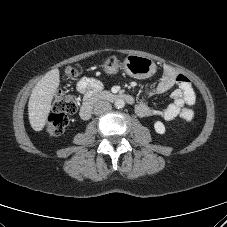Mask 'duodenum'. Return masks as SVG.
Returning a JSON list of instances; mask_svg holds the SVG:
<instances>
[{"instance_id":"duodenum-1","label":"duodenum","mask_w":227,"mask_h":227,"mask_svg":"<svg viewBox=\"0 0 227 227\" xmlns=\"http://www.w3.org/2000/svg\"><path fill=\"white\" fill-rule=\"evenodd\" d=\"M117 100H123L128 103L133 102V98L128 94L123 93H112V92H99L94 93L91 96L87 97L84 101L81 110H80V117L84 120H88L91 117L93 106L100 101L105 102H114Z\"/></svg>"}]
</instances>
